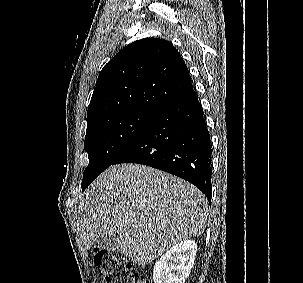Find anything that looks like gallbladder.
Here are the masks:
<instances>
[{
  "mask_svg": "<svg viewBox=\"0 0 303 283\" xmlns=\"http://www.w3.org/2000/svg\"><path fill=\"white\" fill-rule=\"evenodd\" d=\"M97 244L99 247L106 250H115V239L111 235L102 236L98 239Z\"/></svg>",
  "mask_w": 303,
  "mask_h": 283,
  "instance_id": "bac80fb5",
  "label": "gallbladder"
}]
</instances>
